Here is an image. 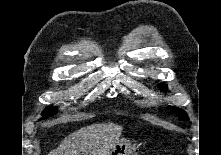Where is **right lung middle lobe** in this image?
Masks as SVG:
<instances>
[{"label": "right lung middle lobe", "mask_w": 221, "mask_h": 155, "mask_svg": "<svg viewBox=\"0 0 221 155\" xmlns=\"http://www.w3.org/2000/svg\"><path fill=\"white\" fill-rule=\"evenodd\" d=\"M56 113V108H52V107H48L44 110V112L42 113L43 115V118L41 119H45V118H48L52 115H54Z\"/></svg>", "instance_id": "obj_1"}]
</instances>
